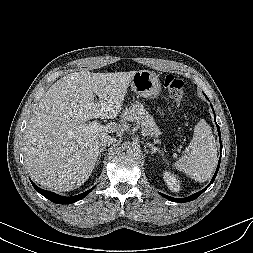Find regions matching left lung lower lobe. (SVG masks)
<instances>
[{
  "mask_svg": "<svg viewBox=\"0 0 253 253\" xmlns=\"http://www.w3.org/2000/svg\"><path fill=\"white\" fill-rule=\"evenodd\" d=\"M214 119H215V115H214ZM215 123H216V121H215ZM216 125H217V123H216ZM217 129H218V134H219L220 143H221L220 128H219L218 125H217ZM221 146H222V143H221ZM220 160H221V159H220ZM220 160H219V163H218L216 172H215V174H214V176H213V178H212V180H211V183L214 182L215 177H216V175H217V172H218V170H219ZM209 186H210V184H209L206 188H204L203 190H201V191H199V192H197V193H195V194H193V195H191V196H189V197H186V198H173V197H170V196H166L165 194H161V195H162L164 198H167L168 200L173 201V202H180V203L189 202V201H192V200H195L196 198H198Z\"/></svg>",
  "mask_w": 253,
  "mask_h": 253,
  "instance_id": "obj_1",
  "label": "left lung lower lobe"
}]
</instances>
